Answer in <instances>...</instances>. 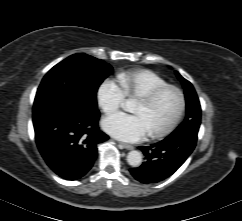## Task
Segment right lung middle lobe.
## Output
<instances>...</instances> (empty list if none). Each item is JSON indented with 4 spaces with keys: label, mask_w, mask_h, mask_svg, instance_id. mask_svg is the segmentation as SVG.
I'll return each instance as SVG.
<instances>
[{
    "label": "right lung middle lobe",
    "mask_w": 242,
    "mask_h": 221,
    "mask_svg": "<svg viewBox=\"0 0 242 221\" xmlns=\"http://www.w3.org/2000/svg\"><path fill=\"white\" fill-rule=\"evenodd\" d=\"M112 67L102 60L80 53L55 65L43 78L33 113L59 108L81 115L98 111L96 92Z\"/></svg>",
    "instance_id": "dd1d6c3e"
}]
</instances>
